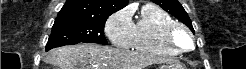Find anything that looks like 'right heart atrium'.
<instances>
[{
    "mask_svg": "<svg viewBox=\"0 0 246 69\" xmlns=\"http://www.w3.org/2000/svg\"><path fill=\"white\" fill-rule=\"evenodd\" d=\"M133 21L127 9L112 14L105 23V34L115 47L130 48Z\"/></svg>",
    "mask_w": 246,
    "mask_h": 69,
    "instance_id": "d8ad5b80",
    "label": "right heart atrium"
}]
</instances>
